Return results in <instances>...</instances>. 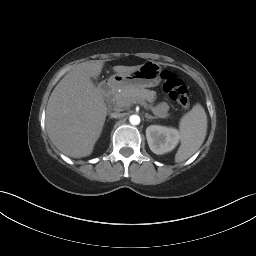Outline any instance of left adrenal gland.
Segmentation results:
<instances>
[{
    "mask_svg": "<svg viewBox=\"0 0 256 256\" xmlns=\"http://www.w3.org/2000/svg\"><path fill=\"white\" fill-rule=\"evenodd\" d=\"M145 117H146L148 120H150V119H157V117L151 116V115H149L148 113L145 114Z\"/></svg>",
    "mask_w": 256,
    "mask_h": 256,
    "instance_id": "1",
    "label": "left adrenal gland"
}]
</instances>
